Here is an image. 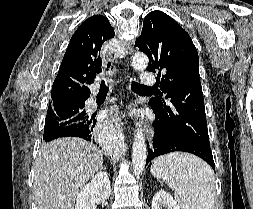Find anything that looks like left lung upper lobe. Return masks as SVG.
<instances>
[{
	"label": "left lung upper lobe",
	"instance_id": "5c2ea615",
	"mask_svg": "<svg viewBox=\"0 0 253 209\" xmlns=\"http://www.w3.org/2000/svg\"><path fill=\"white\" fill-rule=\"evenodd\" d=\"M135 45L149 58L147 71H159V96L149 103L155 120L170 134L210 147L199 57L189 34L170 16L155 10L144 18Z\"/></svg>",
	"mask_w": 253,
	"mask_h": 209
}]
</instances>
